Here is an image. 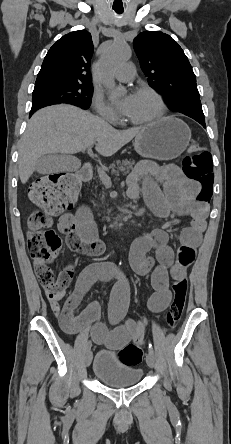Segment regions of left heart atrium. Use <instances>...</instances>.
Instances as JSON below:
<instances>
[{"mask_svg": "<svg viewBox=\"0 0 231 444\" xmlns=\"http://www.w3.org/2000/svg\"><path fill=\"white\" fill-rule=\"evenodd\" d=\"M133 95H129L126 97L120 104L119 109L121 112H123L125 115L128 113L131 103H132Z\"/></svg>", "mask_w": 231, "mask_h": 444, "instance_id": "1", "label": "left heart atrium"}]
</instances>
